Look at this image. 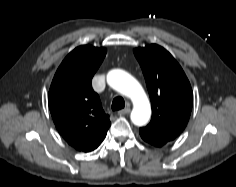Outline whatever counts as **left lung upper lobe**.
<instances>
[{"label":"left lung upper lobe","mask_w":236,"mask_h":187,"mask_svg":"<svg viewBox=\"0 0 236 187\" xmlns=\"http://www.w3.org/2000/svg\"><path fill=\"white\" fill-rule=\"evenodd\" d=\"M152 105V118L139 129L146 142L161 147L186 127L193 105L191 85L178 62L163 47L152 44L134 49Z\"/></svg>","instance_id":"1"}]
</instances>
